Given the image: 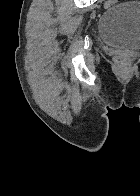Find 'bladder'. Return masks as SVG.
Masks as SVG:
<instances>
[{
  "instance_id": "31cf9c89",
  "label": "bladder",
  "mask_w": 140,
  "mask_h": 196,
  "mask_svg": "<svg viewBox=\"0 0 140 196\" xmlns=\"http://www.w3.org/2000/svg\"><path fill=\"white\" fill-rule=\"evenodd\" d=\"M99 34L107 45L140 49V2H122L105 10L99 22Z\"/></svg>"
}]
</instances>
